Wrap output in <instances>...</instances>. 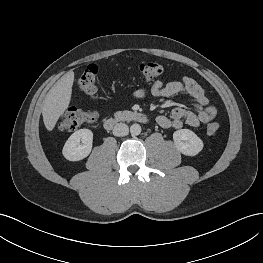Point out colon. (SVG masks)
<instances>
[{
  "mask_svg": "<svg viewBox=\"0 0 263 263\" xmlns=\"http://www.w3.org/2000/svg\"><path fill=\"white\" fill-rule=\"evenodd\" d=\"M138 74L144 81H151L162 74L163 68L160 64L147 61L138 66ZM99 68L96 65H89L78 78L77 84L82 92L90 97L97 96V79ZM98 119L95 111H86L79 108H70L62 115L59 127L62 130L74 131L81 126L94 123ZM220 125L212 122L207 126V133L213 135L218 132Z\"/></svg>",
  "mask_w": 263,
  "mask_h": 263,
  "instance_id": "obj_1",
  "label": "colon"
}]
</instances>
